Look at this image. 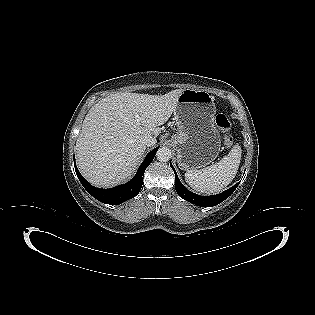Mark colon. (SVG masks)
<instances>
[{
  "label": "colon",
  "instance_id": "colon-1",
  "mask_svg": "<svg viewBox=\"0 0 315 315\" xmlns=\"http://www.w3.org/2000/svg\"><path fill=\"white\" fill-rule=\"evenodd\" d=\"M215 123L217 127L223 132L227 133L231 129V122L228 119V117L224 114H218L215 118ZM222 144L225 147L231 148L234 146L235 141L229 134H227L225 138L223 139Z\"/></svg>",
  "mask_w": 315,
  "mask_h": 315
}]
</instances>
